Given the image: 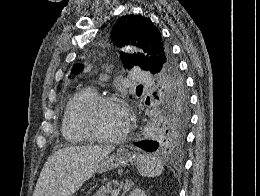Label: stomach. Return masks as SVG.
<instances>
[{"label":"stomach","mask_w":260,"mask_h":196,"mask_svg":"<svg viewBox=\"0 0 260 196\" xmlns=\"http://www.w3.org/2000/svg\"><path fill=\"white\" fill-rule=\"evenodd\" d=\"M137 162V156L135 152H130L126 148H119L116 154H107L105 158H102L101 162L98 164V174H103V172H109V170H114V168H123V166H131Z\"/></svg>","instance_id":"1"}]
</instances>
